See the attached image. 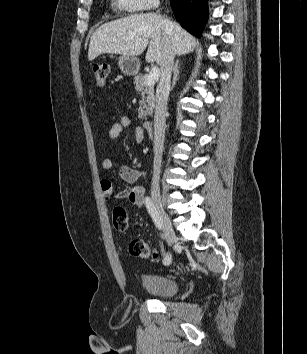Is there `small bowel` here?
Wrapping results in <instances>:
<instances>
[{
    "label": "small bowel",
    "instance_id": "small-bowel-1",
    "mask_svg": "<svg viewBox=\"0 0 307 354\" xmlns=\"http://www.w3.org/2000/svg\"><path fill=\"white\" fill-rule=\"evenodd\" d=\"M132 126V121L129 117H122L118 122L114 123L108 132V140L110 142L116 140L123 130L129 129ZM133 139L136 143H141L144 140V131L140 126H136L133 129ZM103 170L108 171L113 167V163L110 159H104L101 162ZM119 177L128 184L119 193L115 194L113 184L109 179L101 180V190L106 200H112L114 198L127 199L138 208L145 206V185L137 184L140 179L146 178V173L127 165H122L118 169Z\"/></svg>",
    "mask_w": 307,
    "mask_h": 354
}]
</instances>
